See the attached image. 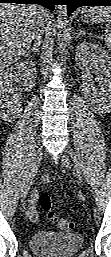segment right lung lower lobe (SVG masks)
Returning a JSON list of instances; mask_svg holds the SVG:
<instances>
[{
  "label": "right lung lower lobe",
  "instance_id": "right-lung-lower-lobe-1",
  "mask_svg": "<svg viewBox=\"0 0 111 257\" xmlns=\"http://www.w3.org/2000/svg\"><path fill=\"white\" fill-rule=\"evenodd\" d=\"M0 3H22V4H40L49 10H54V0H0Z\"/></svg>",
  "mask_w": 111,
  "mask_h": 257
}]
</instances>
